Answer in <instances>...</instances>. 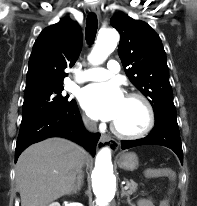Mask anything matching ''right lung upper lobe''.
I'll list each match as a JSON object with an SVG mask.
<instances>
[{
	"instance_id": "obj_1",
	"label": "right lung upper lobe",
	"mask_w": 197,
	"mask_h": 206,
	"mask_svg": "<svg viewBox=\"0 0 197 206\" xmlns=\"http://www.w3.org/2000/svg\"><path fill=\"white\" fill-rule=\"evenodd\" d=\"M81 48V29L71 19H61L45 28L33 45L26 88L63 85V79L68 75L64 69L75 64Z\"/></svg>"
}]
</instances>
